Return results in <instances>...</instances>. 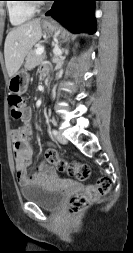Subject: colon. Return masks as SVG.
I'll return each instance as SVG.
<instances>
[{
	"label": "colon",
	"mask_w": 133,
	"mask_h": 253,
	"mask_svg": "<svg viewBox=\"0 0 133 253\" xmlns=\"http://www.w3.org/2000/svg\"><path fill=\"white\" fill-rule=\"evenodd\" d=\"M8 105L13 119H23L26 112L25 100L19 95H10ZM47 162L54 164L61 172H67L79 180H87L90 176V167L82 163H68L58 157L56 151L50 149L45 154ZM111 182L108 178H99L93 184L87 186L85 192L73 196L68 203L70 213H78L86 209L91 203L108 193Z\"/></svg>",
	"instance_id": "obj_1"
}]
</instances>
